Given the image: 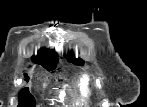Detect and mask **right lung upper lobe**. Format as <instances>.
<instances>
[{"label":"right lung upper lobe","instance_id":"1","mask_svg":"<svg viewBox=\"0 0 147 107\" xmlns=\"http://www.w3.org/2000/svg\"><path fill=\"white\" fill-rule=\"evenodd\" d=\"M32 61L41 64L43 67H52L57 63V55L53 51L41 49L37 56H33Z\"/></svg>","mask_w":147,"mask_h":107}]
</instances>
